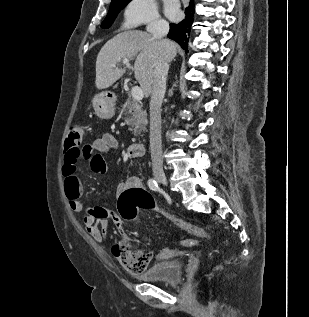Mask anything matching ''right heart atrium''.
Segmentation results:
<instances>
[{
	"mask_svg": "<svg viewBox=\"0 0 309 317\" xmlns=\"http://www.w3.org/2000/svg\"><path fill=\"white\" fill-rule=\"evenodd\" d=\"M123 15L127 27L155 25L160 22L155 0H130Z\"/></svg>",
	"mask_w": 309,
	"mask_h": 317,
	"instance_id": "1",
	"label": "right heart atrium"
}]
</instances>
